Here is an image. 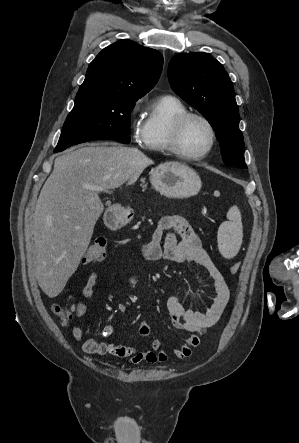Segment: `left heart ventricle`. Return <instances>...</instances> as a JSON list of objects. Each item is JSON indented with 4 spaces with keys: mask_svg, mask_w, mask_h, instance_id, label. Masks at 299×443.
Wrapping results in <instances>:
<instances>
[{
    "mask_svg": "<svg viewBox=\"0 0 299 443\" xmlns=\"http://www.w3.org/2000/svg\"><path fill=\"white\" fill-rule=\"evenodd\" d=\"M210 143V132L206 124L198 118H190L184 125L180 137L183 151L196 155L204 152Z\"/></svg>",
    "mask_w": 299,
    "mask_h": 443,
    "instance_id": "obj_1",
    "label": "left heart ventricle"
}]
</instances>
